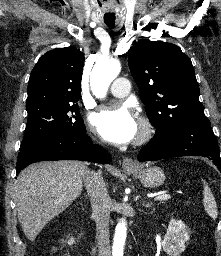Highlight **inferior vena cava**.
<instances>
[{"label":"inferior vena cava","mask_w":221,"mask_h":256,"mask_svg":"<svg viewBox=\"0 0 221 256\" xmlns=\"http://www.w3.org/2000/svg\"><path fill=\"white\" fill-rule=\"evenodd\" d=\"M92 205V216L96 222V239L99 256H111L109 215L111 200L101 172L87 171L83 178Z\"/></svg>","instance_id":"inferior-vena-cava-1"}]
</instances>
